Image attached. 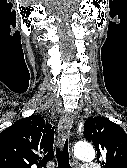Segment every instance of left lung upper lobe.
I'll list each match as a JSON object with an SVG mask.
<instances>
[{"mask_svg":"<svg viewBox=\"0 0 127 168\" xmlns=\"http://www.w3.org/2000/svg\"><path fill=\"white\" fill-rule=\"evenodd\" d=\"M84 137L95 146L97 161L103 159V168H127V134L122 127L104 117H90Z\"/></svg>","mask_w":127,"mask_h":168,"instance_id":"left-lung-upper-lobe-1","label":"left lung upper lobe"}]
</instances>
